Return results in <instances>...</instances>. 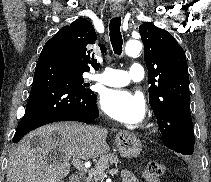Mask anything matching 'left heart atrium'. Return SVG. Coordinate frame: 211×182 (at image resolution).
Returning <instances> with one entry per match:
<instances>
[{"instance_id": "left-heart-atrium-1", "label": "left heart atrium", "mask_w": 211, "mask_h": 182, "mask_svg": "<svg viewBox=\"0 0 211 182\" xmlns=\"http://www.w3.org/2000/svg\"><path fill=\"white\" fill-rule=\"evenodd\" d=\"M102 109L114 120L127 125L140 123L145 116V102L128 90L107 89L100 97Z\"/></svg>"}]
</instances>
